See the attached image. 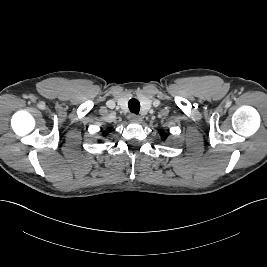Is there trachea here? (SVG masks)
<instances>
[{"label":"trachea","mask_w":267,"mask_h":267,"mask_svg":"<svg viewBox=\"0 0 267 267\" xmlns=\"http://www.w3.org/2000/svg\"><path fill=\"white\" fill-rule=\"evenodd\" d=\"M128 107L132 113L138 114L140 111V102L137 99L132 98L128 102Z\"/></svg>","instance_id":"obj_1"}]
</instances>
